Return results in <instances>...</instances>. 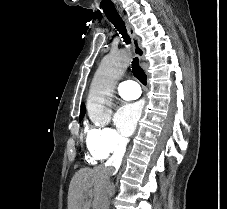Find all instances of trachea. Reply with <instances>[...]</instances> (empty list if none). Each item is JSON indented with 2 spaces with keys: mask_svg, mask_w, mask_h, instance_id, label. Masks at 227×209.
I'll use <instances>...</instances> for the list:
<instances>
[{
  "mask_svg": "<svg viewBox=\"0 0 227 209\" xmlns=\"http://www.w3.org/2000/svg\"><path fill=\"white\" fill-rule=\"evenodd\" d=\"M106 17L108 18L109 22H111L118 30V32L122 35L124 42H126V44H130V37L127 34L125 24L120 15L115 12L106 14ZM132 73L143 85H146L147 77L143 69H141L139 65L138 58H134L132 61Z\"/></svg>",
  "mask_w": 227,
  "mask_h": 209,
  "instance_id": "obj_1",
  "label": "trachea"
}]
</instances>
